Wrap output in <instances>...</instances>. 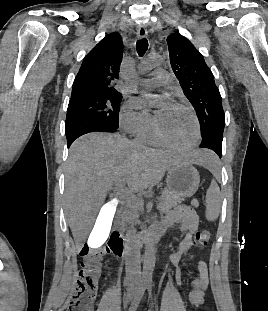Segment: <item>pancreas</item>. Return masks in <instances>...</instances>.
<instances>
[{
  "label": "pancreas",
  "instance_id": "cf45deb5",
  "mask_svg": "<svg viewBox=\"0 0 268 311\" xmlns=\"http://www.w3.org/2000/svg\"><path fill=\"white\" fill-rule=\"evenodd\" d=\"M183 199L177 195L172 194L169 190H164L159 198L158 209L161 212H168L171 208L182 203ZM143 207V203L139 200H133L130 202V209L127 210L121 218L119 225L124 227L126 223L131 219L138 216V210Z\"/></svg>",
  "mask_w": 268,
  "mask_h": 311
}]
</instances>
